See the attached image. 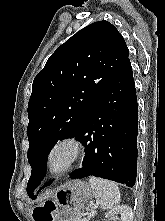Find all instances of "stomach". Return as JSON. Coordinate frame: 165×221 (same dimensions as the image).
Masks as SVG:
<instances>
[{"label": "stomach", "instance_id": "1", "mask_svg": "<svg viewBox=\"0 0 165 221\" xmlns=\"http://www.w3.org/2000/svg\"><path fill=\"white\" fill-rule=\"evenodd\" d=\"M92 197L90 184L73 180L61 186L53 199L39 200V204L33 208L32 217H52L35 218V221H77L74 217L82 212L85 203Z\"/></svg>", "mask_w": 165, "mask_h": 221}]
</instances>
